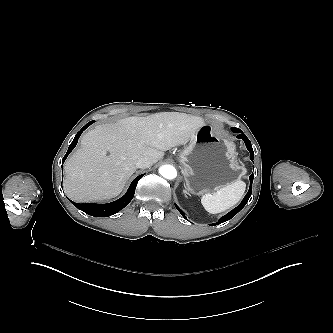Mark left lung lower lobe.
<instances>
[{"label": "left lung lower lobe", "instance_id": "obj_1", "mask_svg": "<svg viewBox=\"0 0 333 333\" xmlns=\"http://www.w3.org/2000/svg\"><path fill=\"white\" fill-rule=\"evenodd\" d=\"M231 129H232L233 132L239 133L237 135V138L242 139L245 142L246 147L250 152V159L253 160L254 152H253V148H252L250 140L243 134V132L239 128L232 127ZM253 177H254L253 174L249 177V179H250L249 191L246 194V196L244 197V199L242 200V202L236 208H234L232 211H230L229 213H227L226 215L221 217L216 224H211V225H218L219 223H223L225 221L230 220L246 205V203L248 202V200L251 196V193H252ZM175 206H176L177 210L182 214V216L186 219V216L183 213V211L177 205H175Z\"/></svg>", "mask_w": 333, "mask_h": 333}]
</instances>
